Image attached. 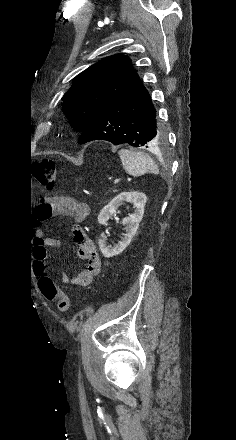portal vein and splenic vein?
<instances>
[{"label":"portal vein and splenic vein","mask_w":236,"mask_h":440,"mask_svg":"<svg viewBox=\"0 0 236 440\" xmlns=\"http://www.w3.org/2000/svg\"><path fill=\"white\" fill-rule=\"evenodd\" d=\"M120 180H121L120 178H118V179H115V180H114V184H116V183H119V182H120Z\"/></svg>","instance_id":"obj_1"}]
</instances>
